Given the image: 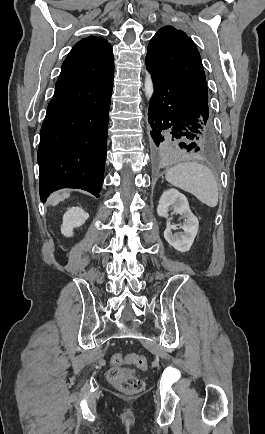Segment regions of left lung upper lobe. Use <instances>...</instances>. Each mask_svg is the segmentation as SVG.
Wrapping results in <instances>:
<instances>
[{"label": "left lung upper lobe", "mask_w": 265, "mask_h": 434, "mask_svg": "<svg viewBox=\"0 0 265 434\" xmlns=\"http://www.w3.org/2000/svg\"><path fill=\"white\" fill-rule=\"evenodd\" d=\"M146 58L168 74L201 107L208 108V89L200 54L182 30L165 26L151 39Z\"/></svg>", "instance_id": "1"}]
</instances>
